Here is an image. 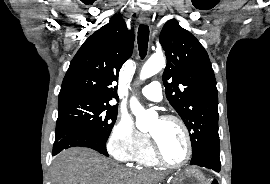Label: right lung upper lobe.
Segmentation results:
<instances>
[{
	"mask_svg": "<svg viewBox=\"0 0 270 184\" xmlns=\"http://www.w3.org/2000/svg\"><path fill=\"white\" fill-rule=\"evenodd\" d=\"M134 46V33L128 30L122 16L113 15L83 43L70 63L64 77L59 99L89 97L109 102L116 98L119 70L130 58Z\"/></svg>",
	"mask_w": 270,
	"mask_h": 184,
	"instance_id": "right-lung-upper-lobe-1",
	"label": "right lung upper lobe"
}]
</instances>
